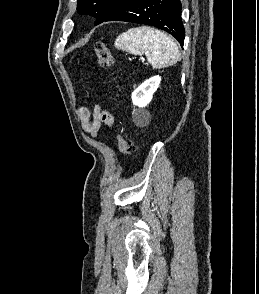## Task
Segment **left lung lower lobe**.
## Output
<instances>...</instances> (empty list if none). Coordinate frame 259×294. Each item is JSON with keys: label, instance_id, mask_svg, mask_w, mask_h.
I'll return each mask as SVG.
<instances>
[{"label": "left lung lower lobe", "instance_id": "0a47b994", "mask_svg": "<svg viewBox=\"0 0 259 294\" xmlns=\"http://www.w3.org/2000/svg\"><path fill=\"white\" fill-rule=\"evenodd\" d=\"M106 21H125L160 28L183 46L185 29L180 0H124L106 17Z\"/></svg>", "mask_w": 259, "mask_h": 294}]
</instances>
